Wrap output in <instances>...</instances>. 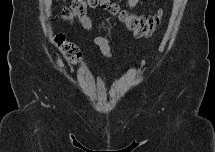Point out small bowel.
I'll return each mask as SVG.
<instances>
[{"label":"small bowel","mask_w":215,"mask_h":152,"mask_svg":"<svg viewBox=\"0 0 215 152\" xmlns=\"http://www.w3.org/2000/svg\"><path fill=\"white\" fill-rule=\"evenodd\" d=\"M137 5H138V0L129 1V7L131 9H134ZM78 22L87 31H91L93 28L92 22L88 16L79 17ZM93 43L95 46H97L100 49L102 55L105 58L111 59L113 57L114 53L107 38L102 36H96L93 39ZM142 66L143 67L146 66L145 61H142Z\"/></svg>","instance_id":"1"}]
</instances>
